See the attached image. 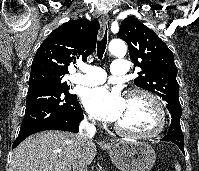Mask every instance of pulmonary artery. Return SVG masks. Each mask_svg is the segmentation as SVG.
I'll list each match as a JSON object with an SVG mask.
<instances>
[{
  "label": "pulmonary artery",
  "mask_w": 199,
  "mask_h": 171,
  "mask_svg": "<svg viewBox=\"0 0 199 171\" xmlns=\"http://www.w3.org/2000/svg\"><path fill=\"white\" fill-rule=\"evenodd\" d=\"M80 73L72 77V82L85 86H94L103 83L106 80V73L103 69L92 66L82 65ZM110 71L112 75L123 76L128 71L127 61L124 59H116L112 62Z\"/></svg>",
  "instance_id": "obj_1"
}]
</instances>
